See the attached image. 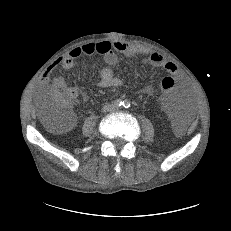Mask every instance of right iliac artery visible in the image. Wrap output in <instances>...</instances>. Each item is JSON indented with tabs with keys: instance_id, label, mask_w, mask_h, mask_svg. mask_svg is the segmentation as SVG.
Segmentation results:
<instances>
[{
	"instance_id": "obj_1",
	"label": "right iliac artery",
	"mask_w": 231,
	"mask_h": 231,
	"mask_svg": "<svg viewBox=\"0 0 231 231\" xmlns=\"http://www.w3.org/2000/svg\"><path fill=\"white\" fill-rule=\"evenodd\" d=\"M123 104V102L120 99L115 100L114 105L119 107Z\"/></svg>"
}]
</instances>
